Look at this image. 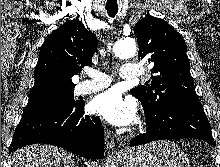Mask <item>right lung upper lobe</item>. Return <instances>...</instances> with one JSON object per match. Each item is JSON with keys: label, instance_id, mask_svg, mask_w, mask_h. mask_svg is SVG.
<instances>
[{"label": "right lung upper lobe", "instance_id": "right-lung-upper-lobe-1", "mask_svg": "<svg viewBox=\"0 0 220 167\" xmlns=\"http://www.w3.org/2000/svg\"><path fill=\"white\" fill-rule=\"evenodd\" d=\"M96 49L95 34L82 22L73 19L61 25L41 47L29 100L73 89L72 77L92 65Z\"/></svg>", "mask_w": 220, "mask_h": 167}]
</instances>
